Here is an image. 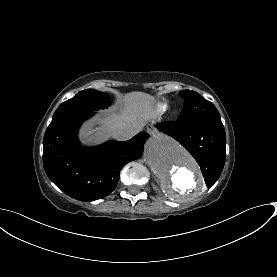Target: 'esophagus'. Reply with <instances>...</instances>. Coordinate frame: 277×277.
Segmentation results:
<instances>
[{"label": "esophagus", "instance_id": "esophagus-1", "mask_svg": "<svg viewBox=\"0 0 277 277\" xmlns=\"http://www.w3.org/2000/svg\"><path fill=\"white\" fill-rule=\"evenodd\" d=\"M147 132H148V133H152V132H153V129L151 128V126H148V127H147Z\"/></svg>", "mask_w": 277, "mask_h": 277}]
</instances>
